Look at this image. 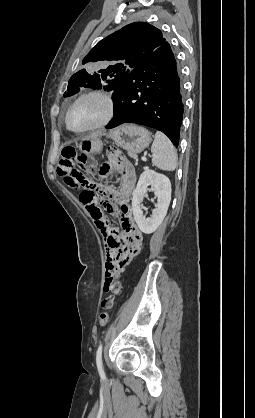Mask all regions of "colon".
Masks as SVG:
<instances>
[{
  "label": "colon",
  "instance_id": "colon-1",
  "mask_svg": "<svg viewBox=\"0 0 255 418\" xmlns=\"http://www.w3.org/2000/svg\"><path fill=\"white\" fill-rule=\"evenodd\" d=\"M95 164L86 156L79 155L75 148L64 147L61 151V159L58 164V173L64 178V181L71 189H82L79 199L86 207L93 221H98L101 228H105L102 221V208L108 215L114 212L113 205L109 203L98 190L90 175L95 171ZM123 228H137L133 222H129ZM142 236V235H141ZM106 240V239H105ZM142 244V239L140 240ZM141 249V247H140ZM109 315L106 311L101 312L99 323L101 326L107 325Z\"/></svg>",
  "mask_w": 255,
  "mask_h": 418
}]
</instances>
